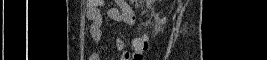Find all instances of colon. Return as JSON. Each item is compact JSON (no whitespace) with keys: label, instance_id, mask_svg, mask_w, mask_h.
Returning a JSON list of instances; mask_svg holds the SVG:
<instances>
[{"label":"colon","instance_id":"colon-1","mask_svg":"<svg viewBox=\"0 0 267 60\" xmlns=\"http://www.w3.org/2000/svg\"><path fill=\"white\" fill-rule=\"evenodd\" d=\"M148 50V38L146 35L138 36L134 39V52L132 56L136 60L144 59V53Z\"/></svg>","mask_w":267,"mask_h":60}]
</instances>
